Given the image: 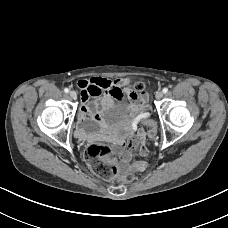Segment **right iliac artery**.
<instances>
[{"instance_id":"82829eb1","label":"right iliac artery","mask_w":228,"mask_h":228,"mask_svg":"<svg viewBox=\"0 0 228 228\" xmlns=\"http://www.w3.org/2000/svg\"><path fill=\"white\" fill-rule=\"evenodd\" d=\"M64 92H65V93H68V92H69V89H68V88H65V89H64Z\"/></svg>"}]
</instances>
